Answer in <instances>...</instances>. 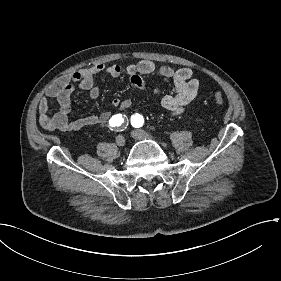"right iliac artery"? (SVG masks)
I'll list each match as a JSON object with an SVG mask.
<instances>
[{"label": "right iliac artery", "instance_id": "right-iliac-artery-1", "mask_svg": "<svg viewBox=\"0 0 281 281\" xmlns=\"http://www.w3.org/2000/svg\"><path fill=\"white\" fill-rule=\"evenodd\" d=\"M128 123L127 116L122 114H116L112 116L109 121L110 127L115 131H124L127 128Z\"/></svg>", "mask_w": 281, "mask_h": 281}]
</instances>
